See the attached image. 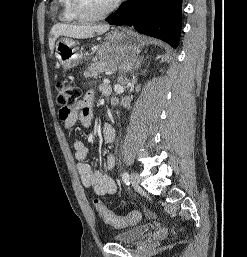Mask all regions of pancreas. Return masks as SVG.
<instances>
[{
  "instance_id": "pancreas-1",
  "label": "pancreas",
  "mask_w": 247,
  "mask_h": 257,
  "mask_svg": "<svg viewBox=\"0 0 247 257\" xmlns=\"http://www.w3.org/2000/svg\"><path fill=\"white\" fill-rule=\"evenodd\" d=\"M114 64L108 63L106 61H98L93 59V62L90 63L87 70L84 72L86 78H101V74L108 70H113Z\"/></svg>"
}]
</instances>
